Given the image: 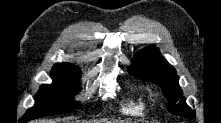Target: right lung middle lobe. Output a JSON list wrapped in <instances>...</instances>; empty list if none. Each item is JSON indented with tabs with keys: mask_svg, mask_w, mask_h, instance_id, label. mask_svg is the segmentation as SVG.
I'll use <instances>...</instances> for the list:
<instances>
[{
	"mask_svg": "<svg viewBox=\"0 0 221 123\" xmlns=\"http://www.w3.org/2000/svg\"><path fill=\"white\" fill-rule=\"evenodd\" d=\"M51 77L53 83L41 86L36 105L27 110L25 118L70 113L80 107V103H74L73 99L80 89L81 71L68 66H54Z\"/></svg>",
	"mask_w": 221,
	"mask_h": 123,
	"instance_id": "1",
	"label": "right lung middle lobe"
}]
</instances>
